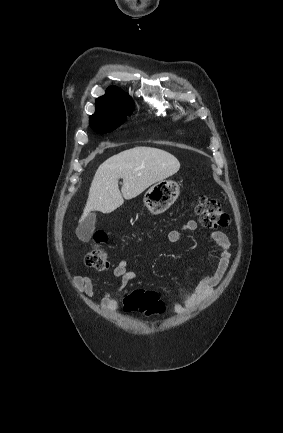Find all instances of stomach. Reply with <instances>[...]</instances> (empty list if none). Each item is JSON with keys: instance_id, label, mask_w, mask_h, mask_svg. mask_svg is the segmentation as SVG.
Masks as SVG:
<instances>
[{"instance_id": "obj_1", "label": "stomach", "mask_w": 283, "mask_h": 433, "mask_svg": "<svg viewBox=\"0 0 283 433\" xmlns=\"http://www.w3.org/2000/svg\"><path fill=\"white\" fill-rule=\"evenodd\" d=\"M180 194V186L175 180H158L144 194V204L152 214L167 210Z\"/></svg>"}]
</instances>
